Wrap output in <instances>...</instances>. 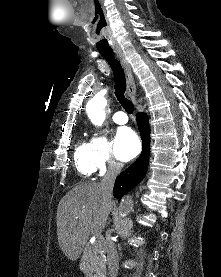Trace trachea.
I'll return each instance as SVG.
<instances>
[{
    "label": "trachea",
    "instance_id": "trachea-1",
    "mask_svg": "<svg viewBox=\"0 0 221 277\" xmlns=\"http://www.w3.org/2000/svg\"><path fill=\"white\" fill-rule=\"evenodd\" d=\"M100 54L107 60L113 71L115 78V95L119 103L128 114H132L134 106L124 95L126 90V79L120 62L115 58L113 51H100Z\"/></svg>",
    "mask_w": 221,
    "mask_h": 277
}]
</instances>
